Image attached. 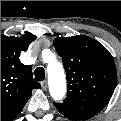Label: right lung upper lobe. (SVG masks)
<instances>
[{
	"mask_svg": "<svg viewBox=\"0 0 121 121\" xmlns=\"http://www.w3.org/2000/svg\"><path fill=\"white\" fill-rule=\"evenodd\" d=\"M36 36L27 33L21 37L1 34V121H12L21 112L31 96L32 89L41 85L33 80L30 65L19 60Z\"/></svg>",
	"mask_w": 121,
	"mask_h": 121,
	"instance_id": "1",
	"label": "right lung upper lobe"
}]
</instances>
